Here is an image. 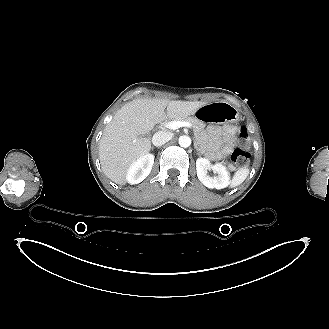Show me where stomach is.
Listing matches in <instances>:
<instances>
[{"instance_id": "1", "label": "stomach", "mask_w": 329, "mask_h": 329, "mask_svg": "<svg viewBox=\"0 0 329 329\" xmlns=\"http://www.w3.org/2000/svg\"><path fill=\"white\" fill-rule=\"evenodd\" d=\"M194 116L204 123L222 121L236 123L239 119L238 111L223 101L205 104L197 110Z\"/></svg>"}]
</instances>
